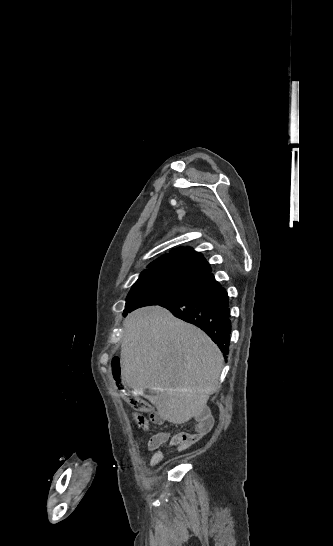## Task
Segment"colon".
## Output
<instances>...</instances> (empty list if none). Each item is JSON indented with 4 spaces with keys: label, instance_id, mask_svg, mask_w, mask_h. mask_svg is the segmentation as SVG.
Listing matches in <instances>:
<instances>
[{
    "label": "colon",
    "instance_id": "5ec220e1",
    "mask_svg": "<svg viewBox=\"0 0 333 546\" xmlns=\"http://www.w3.org/2000/svg\"><path fill=\"white\" fill-rule=\"evenodd\" d=\"M111 365H112L111 370H112L113 376L116 379L117 383H119V378L121 374L119 359L115 357L112 360ZM128 402L133 410L140 412V413L133 414V419L138 425V427L140 428V430L144 433H149L151 431L150 420L144 417L141 413L150 414L152 417V414H153L152 406L146 400L135 395H128Z\"/></svg>",
    "mask_w": 333,
    "mask_h": 546
}]
</instances>
